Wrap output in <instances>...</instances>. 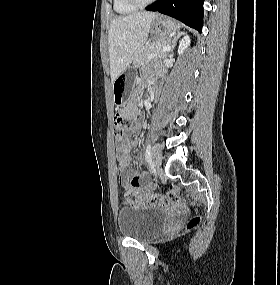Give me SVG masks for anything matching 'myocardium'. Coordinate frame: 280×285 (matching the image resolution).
I'll return each mask as SVG.
<instances>
[{"instance_id": "myocardium-1", "label": "myocardium", "mask_w": 280, "mask_h": 285, "mask_svg": "<svg viewBox=\"0 0 280 285\" xmlns=\"http://www.w3.org/2000/svg\"><path fill=\"white\" fill-rule=\"evenodd\" d=\"M155 1L156 0H126L128 4L136 6L137 8L147 6Z\"/></svg>"}]
</instances>
